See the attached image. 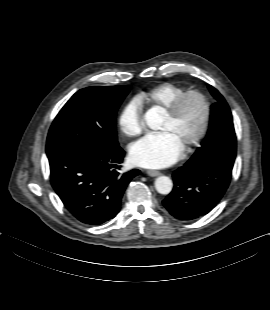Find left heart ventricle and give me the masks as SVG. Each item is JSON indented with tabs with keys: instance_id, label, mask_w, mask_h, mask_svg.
Here are the masks:
<instances>
[{
	"instance_id": "b2bd125f",
	"label": "left heart ventricle",
	"mask_w": 270,
	"mask_h": 310,
	"mask_svg": "<svg viewBox=\"0 0 270 310\" xmlns=\"http://www.w3.org/2000/svg\"><path fill=\"white\" fill-rule=\"evenodd\" d=\"M203 106L197 97H188L173 120L163 116L160 132H168L184 149L199 132L203 120Z\"/></svg>"
}]
</instances>
